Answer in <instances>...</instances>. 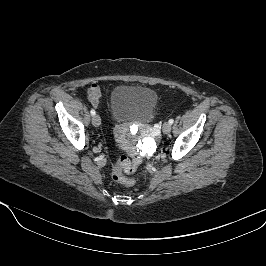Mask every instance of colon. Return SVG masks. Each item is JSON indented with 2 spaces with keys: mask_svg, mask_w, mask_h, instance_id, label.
I'll list each match as a JSON object with an SVG mask.
<instances>
[{
  "mask_svg": "<svg viewBox=\"0 0 266 266\" xmlns=\"http://www.w3.org/2000/svg\"><path fill=\"white\" fill-rule=\"evenodd\" d=\"M141 162V153L138 150H130L128 155L122 156L113 165L112 178L124 186H133L135 180L129 175L136 171Z\"/></svg>",
  "mask_w": 266,
  "mask_h": 266,
  "instance_id": "colon-1",
  "label": "colon"
}]
</instances>
